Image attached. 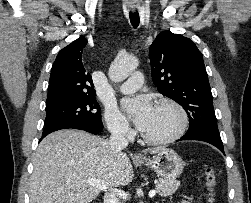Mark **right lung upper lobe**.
I'll return each mask as SVG.
<instances>
[{"instance_id": "obj_1", "label": "right lung upper lobe", "mask_w": 251, "mask_h": 203, "mask_svg": "<svg viewBox=\"0 0 251 203\" xmlns=\"http://www.w3.org/2000/svg\"><path fill=\"white\" fill-rule=\"evenodd\" d=\"M87 40L79 37L59 51L51 69L46 107L95 97L92 77L82 63Z\"/></svg>"}]
</instances>
